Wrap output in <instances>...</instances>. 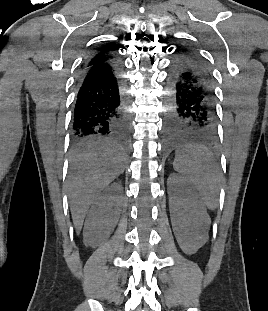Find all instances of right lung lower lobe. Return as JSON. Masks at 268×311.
Wrapping results in <instances>:
<instances>
[{
    "mask_svg": "<svg viewBox=\"0 0 268 311\" xmlns=\"http://www.w3.org/2000/svg\"><path fill=\"white\" fill-rule=\"evenodd\" d=\"M75 140L101 135L125 143L129 132L127 97L116 58L90 65L78 78V91L71 121Z\"/></svg>",
    "mask_w": 268,
    "mask_h": 311,
    "instance_id": "98d812e1",
    "label": "right lung lower lobe"
}]
</instances>
